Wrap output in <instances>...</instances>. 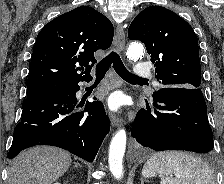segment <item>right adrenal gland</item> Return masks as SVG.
<instances>
[{
    "mask_svg": "<svg viewBox=\"0 0 224 184\" xmlns=\"http://www.w3.org/2000/svg\"><path fill=\"white\" fill-rule=\"evenodd\" d=\"M74 167H81V165L78 162H74Z\"/></svg>",
    "mask_w": 224,
    "mask_h": 184,
    "instance_id": "right-adrenal-gland-1",
    "label": "right adrenal gland"
}]
</instances>
